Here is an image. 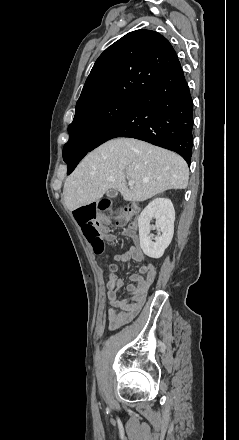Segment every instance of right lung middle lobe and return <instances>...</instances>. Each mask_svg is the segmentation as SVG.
Returning a JSON list of instances; mask_svg holds the SVG:
<instances>
[{
	"label": "right lung middle lobe",
	"instance_id": "dd1d6c3e",
	"mask_svg": "<svg viewBox=\"0 0 239 440\" xmlns=\"http://www.w3.org/2000/svg\"><path fill=\"white\" fill-rule=\"evenodd\" d=\"M135 97L117 96L75 113L69 125V141L64 150H88L97 137L115 123L126 111Z\"/></svg>",
	"mask_w": 239,
	"mask_h": 440
}]
</instances>
